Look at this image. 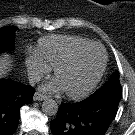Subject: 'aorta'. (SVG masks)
<instances>
[{
	"mask_svg": "<svg viewBox=\"0 0 135 135\" xmlns=\"http://www.w3.org/2000/svg\"><path fill=\"white\" fill-rule=\"evenodd\" d=\"M58 104L53 99H46L42 104V112L48 116H54L58 112Z\"/></svg>",
	"mask_w": 135,
	"mask_h": 135,
	"instance_id": "762f6f07",
	"label": "aorta"
}]
</instances>
